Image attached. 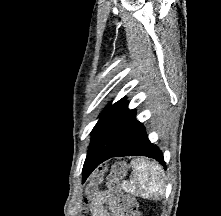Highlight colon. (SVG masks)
Returning <instances> with one entry per match:
<instances>
[{
    "mask_svg": "<svg viewBox=\"0 0 221 216\" xmlns=\"http://www.w3.org/2000/svg\"><path fill=\"white\" fill-rule=\"evenodd\" d=\"M122 168H118L113 172L112 177L107 181V194L117 205L122 216H141L138 211V205L133 196L125 193L119 186L116 178L122 172ZM102 179V173L95 176L90 185L89 195L85 199L86 204H94L98 202L100 191L98 188Z\"/></svg>",
    "mask_w": 221,
    "mask_h": 216,
    "instance_id": "5ec220e1",
    "label": "colon"
}]
</instances>
